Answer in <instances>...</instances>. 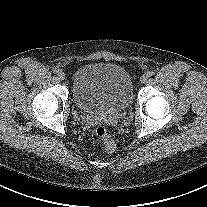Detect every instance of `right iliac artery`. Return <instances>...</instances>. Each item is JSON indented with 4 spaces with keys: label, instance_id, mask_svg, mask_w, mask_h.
<instances>
[{
    "label": "right iliac artery",
    "instance_id": "82829eb1",
    "mask_svg": "<svg viewBox=\"0 0 207 207\" xmlns=\"http://www.w3.org/2000/svg\"><path fill=\"white\" fill-rule=\"evenodd\" d=\"M53 73H57L58 72V69L57 68H53Z\"/></svg>",
    "mask_w": 207,
    "mask_h": 207
}]
</instances>
